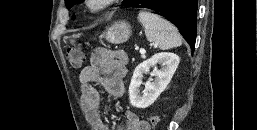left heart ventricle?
<instances>
[{
	"instance_id": "left-heart-ventricle-1",
	"label": "left heart ventricle",
	"mask_w": 257,
	"mask_h": 130,
	"mask_svg": "<svg viewBox=\"0 0 257 130\" xmlns=\"http://www.w3.org/2000/svg\"><path fill=\"white\" fill-rule=\"evenodd\" d=\"M100 0H95V4L99 3Z\"/></svg>"
}]
</instances>
